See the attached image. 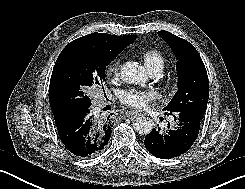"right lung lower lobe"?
Wrapping results in <instances>:
<instances>
[{
  "label": "right lung lower lobe",
  "instance_id": "1",
  "mask_svg": "<svg viewBox=\"0 0 245 189\" xmlns=\"http://www.w3.org/2000/svg\"><path fill=\"white\" fill-rule=\"evenodd\" d=\"M54 119L62 143L80 157L102 151L108 144L114 125L110 115L105 120L96 121L90 114V105L62 109L54 114Z\"/></svg>",
  "mask_w": 245,
  "mask_h": 189
}]
</instances>
